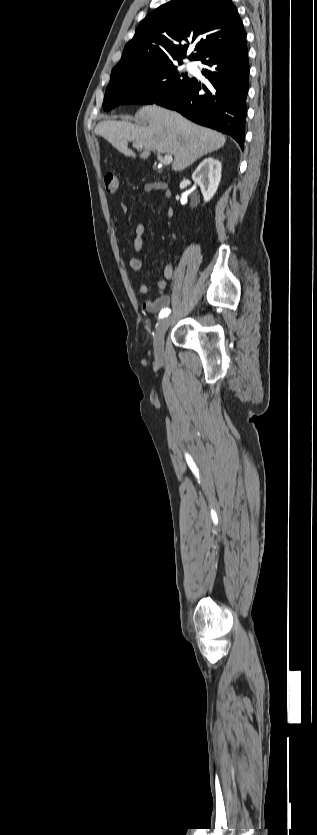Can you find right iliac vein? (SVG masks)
<instances>
[{"label": "right iliac vein", "instance_id": "63e3f726", "mask_svg": "<svg viewBox=\"0 0 317 835\" xmlns=\"http://www.w3.org/2000/svg\"><path fill=\"white\" fill-rule=\"evenodd\" d=\"M170 323L171 317H166L163 320H161L158 324L154 341L155 351L158 355H161L163 353L164 336L168 327L170 326Z\"/></svg>", "mask_w": 317, "mask_h": 835}]
</instances>
